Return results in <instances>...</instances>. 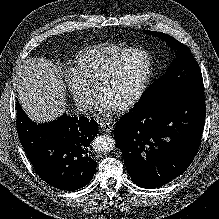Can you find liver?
<instances>
[{"mask_svg": "<svg viewBox=\"0 0 219 219\" xmlns=\"http://www.w3.org/2000/svg\"><path fill=\"white\" fill-rule=\"evenodd\" d=\"M18 100L36 123L51 122L65 111L66 94L53 63L44 58H28L15 78Z\"/></svg>", "mask_w": 219, "mask_h": 219, "instance_id": "6515ba94", "label": "liver"}]
</instances>
